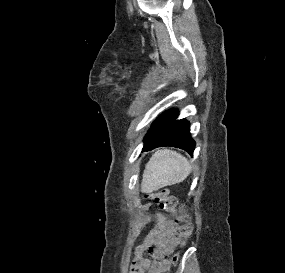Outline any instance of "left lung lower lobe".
<instances>
[{"instance_id": "left-lung-lower-lobe-1", "label": "left lung lower lobe", "mask_w": 285, "mask_h": 273, "mask_svg": "<svg viewBox=\"0 0 285 273\" xmlns=\"http://www.w3.org/2000/svg\"><path fill=\"white\" fill-rule=\"evenodd\" d=\"M176 110L164 112L152 124L144 140V151L160 146L178 147L193 155L195 141L191 138L189 122L176 120Z\"/></svg>"}]
</instances>
